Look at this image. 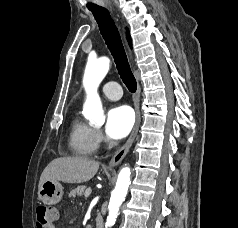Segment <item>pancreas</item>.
<instances>
[{
    "instance_id": "pancreas-1",
    "label": "pancreas",
    "mask_w": 238,
    "mask_h": 228,
    "mask_svg": "<svg viewBox=\"0 0 238 228\" xmlns=\"http://www.w3.org/2000/svg\"><path fill=\"white\" fill-rule=\"evenodd\" d=\"M87 186L85 185H80L77 188L73 189L70 193L69 196L70 197H76V196H80V195H85V192L87 191Z\"/></svg>"
}]
</instances>
